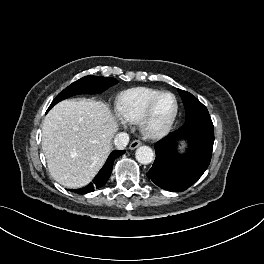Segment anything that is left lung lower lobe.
<instances>
[{
	"mask_svg": "<svg viewBox=\"0 0 264 264\" xmlns=\"http://www.w3.org/2000/svg\"><path fill=\"white\" fill-rule=\"evenodd\" d=\"M189 142L188 151L179 154L177 143ZM214 143L211 118H201L184 124L155 145L156 158L147 174L162 189L179 192L193 185L210 164Z\"/></svg>",
	"mask_w": 264,
	"mask_h": 264,
	"instance_id": "obj_1",
	"label": "left lung lower lobe"
}]
</instances>
